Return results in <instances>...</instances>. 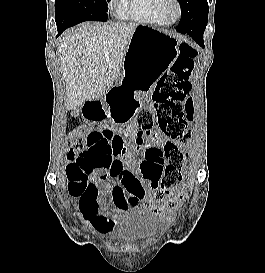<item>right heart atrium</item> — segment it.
Listing matches in <instances>:
<instances>
[{"label": "right heart atrium", "instance_id": "obj_1", "mask_svg": "<svg viewBox=\"0 0 265 273\" xmlns=\"http://www.w3.org/2000/svg\"><path fill=\"white\" fill-rule=\"evenodd\" d=\"M116 2H117V0H112V3H114V4H115Z\"/></svg>", "mask_w": 265, "mask_h": 273}]
</instances>
